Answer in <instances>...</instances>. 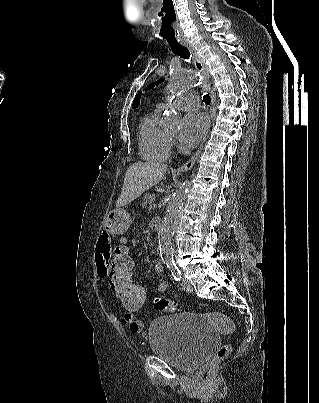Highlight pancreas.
I'll return each instance as SVG.
<instances>
[{"instance_id":"cf45deb5","label":"pancreas","mask_w":319,"mask_h":403,"mask_svg":"<svg viewBox=\"0 0 319 403\" xmlns=\"http://www.w3.org/2000/svg\"><path fill=\"white\" fill-rule=\"evenodd\" d=\"M154 199H155V195H154V194H146V195L144 196L142 206H143V207H146V206H148V205L151 206V204H152V202L154 201Z\"/></svg>"}]
</instances>
